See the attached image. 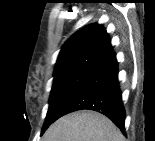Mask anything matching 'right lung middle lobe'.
Returning <instances> with one entry per match:
<instances>
[{
	"mask_svg": "<svg viewBox=\"0 0 155 141\" xmlns=\"http://www.w3.org/2000/svg\"><path fill=\"white\" fill-rule=\"evenodd\" d=\"M95 70L75 69L54 76L49 109L41 135L60 117L62 107L74 93L91 77Z\"/></svg>",
	"mask_w": 155,
	"mask_h": 141,
	"instance_id": "1",
	"label": "right lung middle lobe"
}]
</instances>
